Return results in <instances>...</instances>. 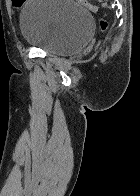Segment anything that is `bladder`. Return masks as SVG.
I'll list each match as a JSON object with an SVG mask.
<instances>
[{
	"label": "bladder",
	"mask_w": 140,
	"mask_h": 196,
	"mask_svg": "<svg viewBox=\"0 0 140 196\" xmlns=\"http://www.w3.org/2000/svg\"><path fill=\"white\" fill-rule=\"evenodd\" d=\"M20 28L27 44L54 55L81 51L94 32L91 12L75 0H29Z\"/></svg>",
	"instance_id": "31cf9c89"
}]
</instances>
